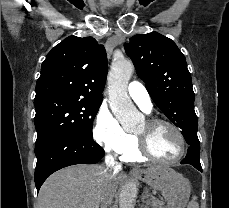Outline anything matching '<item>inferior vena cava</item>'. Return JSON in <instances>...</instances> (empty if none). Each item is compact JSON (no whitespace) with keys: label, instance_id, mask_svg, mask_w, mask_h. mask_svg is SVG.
Wrapping results in <instances>:
<instances>
[{"label":"inferior vena cava","instance_id":"1","mask_svg":"<svg viewBox=\"0 0 229 208\" xmlns=\"http://www.w3.org/2000/svg\"><path fill=\"white\" fill-rule=\"evenodd\" d=\"M105 164H106V168L103 172L105 178H107V180H111V178H115V176L117 174V170H119V168H118V166H115L116 162H114V158H112V156H105ZM107 180H106V182H107ZM102 190H103V192H102V196H101L100 208H107L108 196L110 194V192L108 190V184H104Z\"/></svg>","mask_w":229,"mask_h":208}]
</instances>
